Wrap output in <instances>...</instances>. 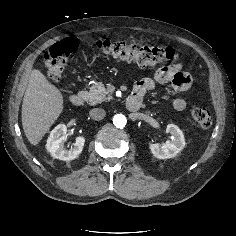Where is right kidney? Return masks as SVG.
<instances>
[{"label": "right kidney", "instance_id": "right-kidney-1", "mask_svg": "<svg viewBox=\"0 0 236 236\" xmlns=\"http://www.w3.org/2000/svg\"><path fill=\"white\" fill-rule=\"evenodd\" d=\"M67 126L64 124L57 125L51 132L47 139L46 149L53 158L69 161L77 158L85 143L83 136L76 137V142L72 149L66 150L64 143L66 142Z\"/></svg>", "mask_w": 236, "mask_h": 236}]
</instances>
